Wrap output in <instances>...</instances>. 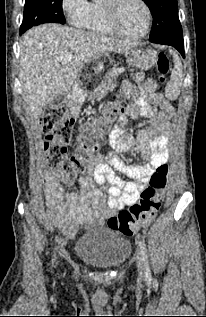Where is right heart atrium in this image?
<instances>
[{"instance_id": "obj_1", "label": "right heart atrium", "mask_w": 206, "mask_h": 317, "mask_svg": "<svg viewBox=\"0 0 206 317\" xmlns=\"http://www.w3.org/2000/svg\"><path fill=\"white\" fill-rule=\"evenodd\" d=\"M61 7L72 26L84 27L90 8L87 0H61Z\"/></svg>"}]
</instances>
